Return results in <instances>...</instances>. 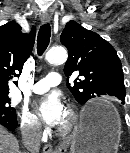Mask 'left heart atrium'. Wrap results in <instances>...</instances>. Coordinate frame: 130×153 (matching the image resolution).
Listing matches in <instances>:
<instances>
[{
    "instance_id": "obj_1",
    "label": "left heart atrium",
    "mask_w": 130,
    "mask_h": 153,
    "mask_svg": "<svg viewBox=\"0 0 130 153\" xmlns=\"http://www.w3.org/2000/svg\"><path fill=\"white\" fill-rule=\"evenodd\" d=\"M41 119L50 126L61 123L65 115V107L56 93L44 96L37 104Z\"/></svg>"
}]
</instances>
